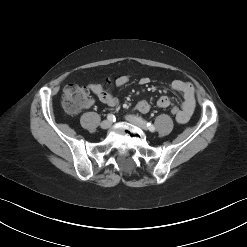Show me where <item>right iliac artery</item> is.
Instances as JSON below:
<instances>
[{
    "instance_id": "right-iliac-artery-1",
    "label": "right iliac artery",
    "mask_w": 247,
    "mask_h": 247,
    "mask_svg": "<svg viewBox=\"0 0 247 247\" xmlns=\"http://www.w3.org/2000/svg\"><path fill=\"white\" fill-rule=\"evenodd\" d=\"M107 118H108V120H110V121H115V120H116L115 116L112 115V114H109V115L107 116Z\"/></svg>"
}]
</instances>
